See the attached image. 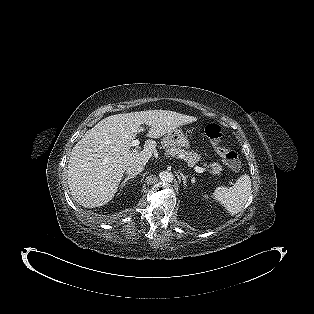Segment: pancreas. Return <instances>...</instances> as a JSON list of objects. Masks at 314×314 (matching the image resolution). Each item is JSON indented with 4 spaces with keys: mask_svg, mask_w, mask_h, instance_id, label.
I'll use <instances>...</instances> for the list:
<instances>
[{
    "mask_svg": "<svg viewBox=\"0 0 314 314\" xmlns=\"http://www.w3.org/2000/svg\"><path fill=\"white\" fill-rule=\"evenodd\" d=\"M163 146L166 148L167 155L183 159L190 167H193L200 161V155L198 153L188 152L167 143H164ZM208 168L213 174H221L222 167L218 163H212L208 166Z\"/></svg>",
    "mask_w": 314,
    "mask_h": 314,
    "instance_id": "1",
    "label": "pancreas"
}]
</instances>
